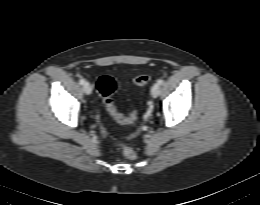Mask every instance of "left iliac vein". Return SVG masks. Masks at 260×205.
<instances>
[{
	"instance_id": "obj_1",
	"label": "left iliac vein",
	"mask_w": 260,
	"mask_h": 205,
	"mask_svg": "<svg viewBox=\"0 0 260 205\" xmlns=\"http://www.w3.org/2000/svg\"><path fill=\"white\" fill-rule=\"evenodd\" d=\"M160 93V85L158 83L153 84L151 88V94L154 98L158 97Z\"/></svg>"
}]
</instances>
